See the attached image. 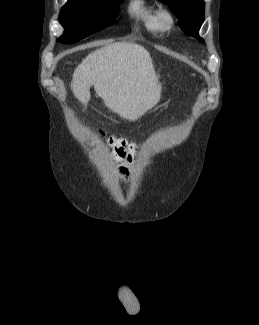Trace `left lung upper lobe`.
I'll return each mask as SVG.
<instances>
[{
	"instance_id": "left-lung-upper-lobe-1",
	"label": "left lung upper lobe",
	"mask_w": 259,
	"mask_h": 325,
	"mask_svg": "<svg viewBox=\"0 0 259 325\" xmlns=\"http://www.w3.org/2000/svg\"><path fill=\"white\" fill-rule=\"evenodd\" d=\"M167 3L173 13L180 21V28L187 34L196 37L200 42H204L199 37L198 32L204 21V1L203 0H162Z\"/></svg>"
}]
</instances>
